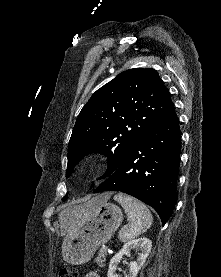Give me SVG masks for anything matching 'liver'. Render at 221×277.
<instances>
[{
    "label": "liver",
    "instance_id": "1",
    "mask_svg": "<svg viewBox=\"0 0 221 277\" xmlns=\"http://www.w3.org/2000/svg\"><path fill=\"white\" fill-rule=\"evenodd\" d=\"M111 193H105L96 197V203H102L108 201L111 197ZM81 210V206H75L73 208H67L63 210L59 215L61 234H66L68 231V224L70 220L76 216Z\"/></svg>",
    "mask_w": 221,
    "mask_h": 277
}]
</instances>
